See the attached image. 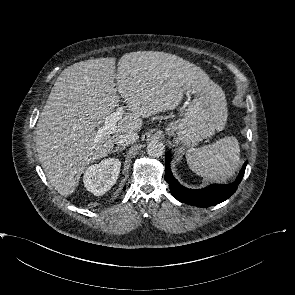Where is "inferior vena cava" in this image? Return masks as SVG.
<instances>
[{
    "instance_id": "inferior-vena-cava-1",
    "label": "inferior vena cava",
    "mask_w": 295,
    "mask_h": 295,
    "mask_svg": "<svg viewBox=\"0 0 295 295\" xmlns=\"http://www.w3.org/2000/svg\"><path fill=\"white\" fill-rule=\"evenodd\" d=\"M138 139H139V136L137 133L129 131V132L118 135L115 138V143L117 145L125 146L137 141Z\"/></svg>"
}]
</instances>
